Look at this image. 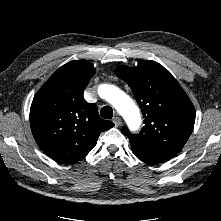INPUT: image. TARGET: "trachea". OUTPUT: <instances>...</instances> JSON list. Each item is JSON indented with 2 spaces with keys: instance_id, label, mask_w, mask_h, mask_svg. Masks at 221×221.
<instances>
[{
  "instance_id": "trachea-1",
  "label": "trachea",
  "mask_w": 221,
  "mask_h": 221,
  "mask_svg": "<svg viewBox=\"0 0 221 221\" xmlns=\"http://www.w3.org/2000/svg\"><path fill=\"white\" fill-rule=\"evenodd\" d=\"M101 117L111 119L113 117V109L110 106H104L100 111Z\"/></svg>"
}]
</instances>
